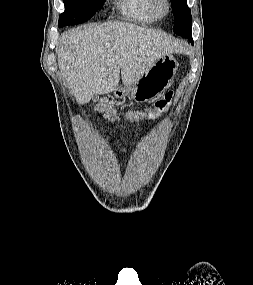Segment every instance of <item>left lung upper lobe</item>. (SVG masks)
I'll list each match as a JSON object with an SVG mask.
<instances>
[{"label": "left lung upper lobe", "instance_id": "left-lung-upper-lobe-1", "mask_svg": "<svg viewBox=\"0 0 253 285\" xmlns=\"http://www.w3.org/2000/svg\"><path fill=\"white\" fill-rule=\"evenodd\" d=\"M174 14V33L187 37L192 33V18L187 0H171Z\"/></svg>", "mask_w": 253, "mask_h": 285}]
</instances>
